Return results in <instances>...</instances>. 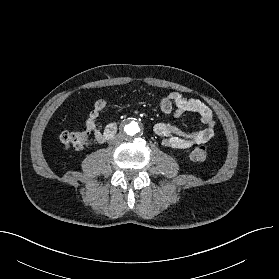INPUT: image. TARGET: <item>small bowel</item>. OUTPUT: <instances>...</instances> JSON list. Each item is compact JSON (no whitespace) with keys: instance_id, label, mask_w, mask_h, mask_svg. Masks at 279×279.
Masks as SVG:
<instances>
[{"instance_id":"obj_1","label":"small bowel","mask_w":279,"mask_h":279,"mask_svg":"<svg viewBox=\"0 0 279 279\" xmlns=\"http://www.w3.org/2000/svg\"><path fill=\"white\" fill-rule=\"evenodd\" d=\"M108 105L107 100L98 99L93 110L86 119V127L94 133L99 143H104V133L100 117ZM160 108L166 117H179L184 113L192 112L200 116L205 127L196 132L185 134L167 121L159 122L154 126L155 133L162 138L163 144L171 149H189L195 145L205 144L215 134L214 118L211 109L201 100L187 98L181 92L175 91L162 96ZM108 127V126H107Z\"/></svg>"}]
</instances>
